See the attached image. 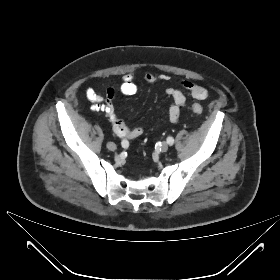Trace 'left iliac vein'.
<instances>
[{
    "label": "left iliac vein",
    "instance_id": "left-iliac-vein-1",
    "mask_svg": "<svg viewBox=\"0 0 280 280\" xmlns=\"http://www.w3.org/2000/svg\"><path fill=\"white\" fill-rule=\"evenodd\" d=\"M168 148H169L168 144L166 142H162L161 148H160L161 151L162 152H167Z\"/></svg>",
    "mask_w": 280,
    "mask_h": 280
}]
</instances>
